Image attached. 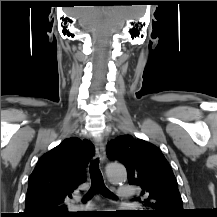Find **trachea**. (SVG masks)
I'll use <instances>...</instances> for the list:
<instances>
[{
  "mask_svg": "<svg viewBox=\"0 0 217 217\" xmlns=\"http://www.w3.org/2000/svg\"><path fill=\"white\" fill-rule=\"evenodd\" d=\"M91 188L84 196L83 201L90 200L95 194L100 193L106 198L115 199V195L105 186L101 171L99 169L98 159L90 164Z\"/></svg>",
  "mask_w": 217,
  "mask_h": 217,
  "instance_id": "trachea-1",
  "label": "trachea"
}]
</instances>
